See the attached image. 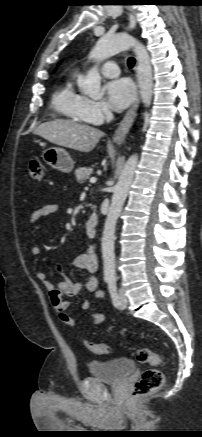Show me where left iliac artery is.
Returning <instances> with one entry per match:
<instances>
[{
  "instance_id": "obj_1",
  "label": "left iliac artery",
  "mask_w": 202,
  "mask_h": 437,
  "mask_svg": "<svg viewBox=\"0 0 202 437\" xmlns=\"http://www.w3.org/2000/svg\"><path fill=\"white\" fill-rule=\"evenodd\" d=\"M108 290H109L113 305L117 307L119 305V296L117 294V287H116V279L115 278L108 279Z\"/></svg>"
}]
</instances>
